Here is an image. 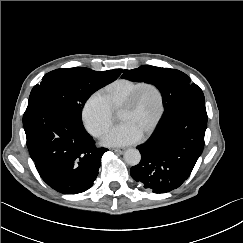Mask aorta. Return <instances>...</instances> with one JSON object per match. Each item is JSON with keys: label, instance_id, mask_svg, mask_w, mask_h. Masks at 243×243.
Segmentation results:
<instances>
[{"label": "aorta", "instance_id": "1", "mask_svg": "<svg viewBox=\"0 0 243 243\" xmlns=\"http://www.w3.org/2000/svg\"><path fill=\"white\" fill-rule=\"evenodd\" d=\"M124 160L131 166L138 165L141 160V154L137 149L130 148L125 151Z\"/></svg>", "mask_w": 243, "mask_h": 243}]
</instances>
